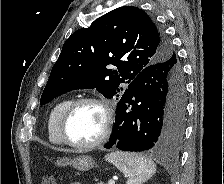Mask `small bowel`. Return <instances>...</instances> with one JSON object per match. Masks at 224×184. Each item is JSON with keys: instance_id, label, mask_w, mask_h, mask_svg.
Here are the masks:
<instances>
[{"instance_id": "c3829d8e", "label": "small bowel", "mask_w": 224, "mask_h": 184, "mask_svg": "<svg viewBox=\"0 0 224 184\" xmlns=\"http://www.w3.org/2000/svg\"><path fill=\"white\" fill-rule=\"evenodd\" d=\"M72 184H81V183L75 182V183H72Z\"/></svg>"}]
</instances>
